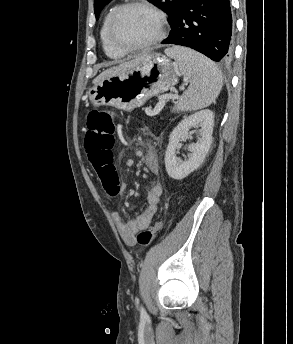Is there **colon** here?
Listing matches in <instances>:
<instances>
[{
	"label": "colon",
	"mask_w": 293,
	"mask_h": 344,
	"mask_svg": "<svg viewBox=\"0 0 293 344\" xmlns=\"http://www.w3.org/2000/svg\"><path fill=\"white\" fill-rule=\"evenodd\" d=\"M117 114L110 109H94L86 117L87 133L84 139V148L87 155L98 172L105 191L111 195H117L120 191L118 179L110 182L102 170L112 165V149L115 143V125ZM162 223L155 222L150 228L139 232L137 243L141 247L151 244Z\"/></svg>",
	"instance_id": "colon-1"
}]
</instances>
